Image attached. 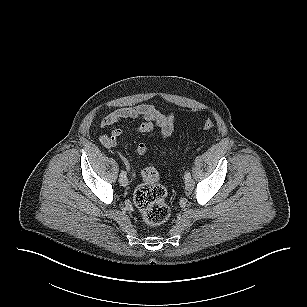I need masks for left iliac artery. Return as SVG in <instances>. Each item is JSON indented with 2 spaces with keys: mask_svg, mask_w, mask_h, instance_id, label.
Wrapping results in <instances>:
<instances>
[{
  "mask_svg": "<svg viewBox=\"0 0 307 307\" xmlns=\"http://www.w3.org/2000/svg\"><path fill=\"white\" fill-rule=\"evenodd\" d=\"M184 176L185 178H188V177H191V174L189 172H186Z\"/></svg>",
  "mask_w": 307,
  "mask_h": 307,
  "instance_id": "obj_1",
  "label": "left iliac artery"
}]
</instances>
